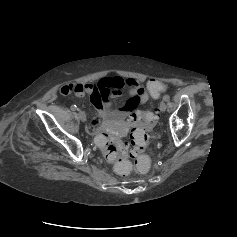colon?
Wrapping results in <instances>:
<instances>
[{"label": "colon", "instance_id": "obj_1", "mask_svg": "<svg viewBox=\"0 0 237 237\" xmlns=\"http://www.w3.org/2000/svg\"><path fill=\"white\" fill-rule=\"evenodd\" d=\"M147 88L152 97L157 98L168 88V85L159 80H150ZM130 147L115 135L101 132L96 137V144L103 152L105 160L113 164L115 171L127 176L133 170L139 173L146 172L151 164L153 151L148 148V130L157 124L155 111H135L129 118ZM134 160V168L129 159Z\"/></svg>", "mask_w": 237, "mask_h": 237}]
</instances>
